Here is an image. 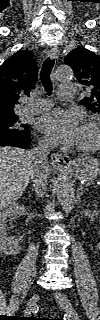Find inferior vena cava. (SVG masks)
Listing matches in <instances>:
<instances>
[{
  "instance_id": "1",
  "label": "inferior vena cava",
  "mask_w": 100,
  "mask_h": 320,
  "mask_svg": "<svg viewBox=\"0 0 100 320\" xmlns=\"http://www.w3.org/2000/svg\"><path fill=\"white\" fill-rule=\"evenodd\" d=\"M50 143L40 140L38 146L31 150V154L35 160V170L31 177L34 191L38 197H43L47 189L48 179V155L50 154Z\"/></svg>"
}]
</instances>
